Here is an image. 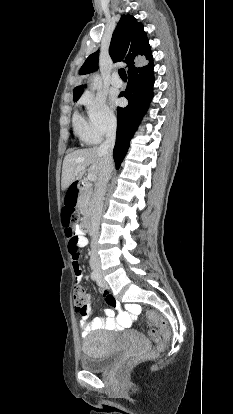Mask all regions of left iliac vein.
Segmentation results:
<instances>
[{"label":"left iliac vein","mask_w":233,"mask_h":414,"mask_svg":"<svg viewBox=\"0 0 233 414\" xmlns=\"http://www.w3.org/2000/svg\"><path fill=\"white\" fill-rule=\"evenodd\" d=\"M97 284H98L100 287L105 286V282H104V280L102 279L101 275H99V277H98Z\"/></svg>","instance_id":"1"}]
</instances>
